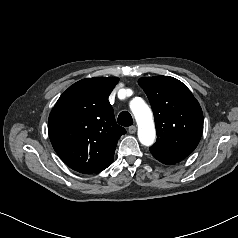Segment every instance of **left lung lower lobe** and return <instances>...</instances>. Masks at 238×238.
Returning a JSON list of instances; mask_svg holds the SVG:
<instances>
[{
  "mask_svg": "<svg viewBox=\"0 0 238 238\" xmlns=\"http://www.w3.org/2000/svg\"><path fill=\"white\" fill-rule=\"evenodd\" d=\"M150 151H151L152 155L157 160H159L160 162L167 164V165L178 163L184 159V158L177 157V156H171V155L165 154L163 152H158V151H153V150H150Z\"/></svg>",
  "mask_w": 238,
  "mask_h": 238,
  "instance_id": "left-lung-lower-lobe-1",
  "label": "left lung lower lobe"
}]
</instances>
